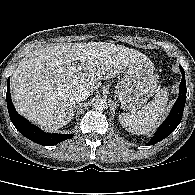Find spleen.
<instances>
[{
	"instance_id": "3e777b00",
	"label": "spleen",
	"mask_w": 195,
	"mask_h": 195,
	"mask_svg": "<svg viewBox=\"0 0 195 195\" xmlns=\"http://www.w3.org/2000/svg\"><path fill=\"white\" fill-rule=\"evenodd\" d=\"M168 89H161L155 97L139 111L121 113L119 121L129 132L147 135L152 132L165 115L168 103Z\"/></svg>"
}]
</instances>
